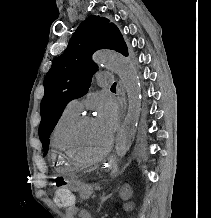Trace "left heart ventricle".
Masks as SVG:
<instances>
[{
	"mask_svg": "<svg viewBox=\"0 0 211 218\" xmlns=\"http://www.w3.org/2000/svg\"><path fill=\"white\" fill-rule=\"evenodd\" d=\"M112 136L104 132L94 119L86 122L75 138L76 154L95 155L103 151L111 142Z\"/></svg>",
	"mask_w": 211,
	"mask_h": 218,
	"instance_id": "left-heart-ventricle-1",
	"label": "left heart ventricle"
}]
</instances>
